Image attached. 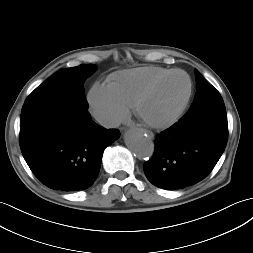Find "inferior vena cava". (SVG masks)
I'll return each instance as SVG.
<instances>
[{
    "label": "inferior vena cava",
    "instance_id": "602c4592",
    "mask_svg": "<svg viewBox=\"0 0 253 253\" xmlns=\"http://www.w3.org/2000/svg\"><path fill=\"white\" fill-rule=\"evenodd\" d=\"M95 119L99 122L100 125L106 128L117 127L120 124L118 119L110 114L98 113L95 115Z\"/></svg>",
    "mask_w": 253,
    "mask_h": 253
}]
</instances>
